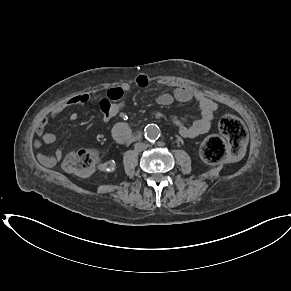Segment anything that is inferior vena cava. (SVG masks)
<instances>
[{"label": "inferior vena cava", "mask_w": 291, "mask_h": 291, "mask_svg": "<svg viewBox=\"0 0 291 291\" xmlns=\"http://www.w3.org/2000/svg\"><path fill=\"white\" fill-rule=\"evenodd\" d=\"M141 146H142L141 144H137V145L135 146V148H137V149H139V150H143V148H141ZM143 147L146 148L147 145L144 144Z\"/></svg>", "instance_id": "1"}]
</instances>
